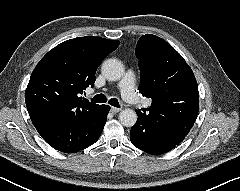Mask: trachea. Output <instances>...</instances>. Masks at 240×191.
<instances>
[{
	"mask_svg": "<svg viewBox=\"0 0 240 191\" xmlns=\"http://www.w3.org/2000/svg\"><path fill=\"white\" fill-rule=\"evenodd\" d=\"M92 102L94 103H105L107 101V98L104 94H98L96 96H94L92 99ZM108 103L114 107H117L119 108L120 105H119V102L116 98H111Z\"/></svg>",
	"mask_w": 240,
	"mask_h": 191,
	"instance_id": "3493384b",
	"label": "trachea"
}]
</instances>
